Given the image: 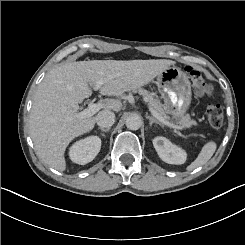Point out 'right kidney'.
Instances as JSON below:
<instances>
[{"instance_id": "right-kidney-1", "label": "right kidney", "mask_w": 245, "mask_h": 245, "mask_svg": "<svg viewBox=\"0 0 245 245\" xmlns=\"http://www.w3.org/2000/svg\"><path fill=\"white\" fill-rule=\"evenodd\" d=\"M101 138L90 135L75 141L68 149V156L72 163L85 165L91 162L100 152Z\"/></svg>"}]
</instances>
